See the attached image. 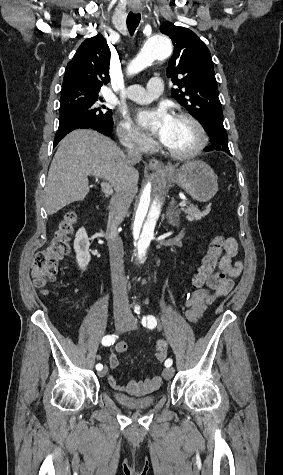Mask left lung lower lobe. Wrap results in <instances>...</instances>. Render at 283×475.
<instances>
[{"label":"left lung lower lobe","instance_id":"0a47b994","mask_svg":"<svg viewBox=\"0 0 283 475\" xmlns=\"http://www.w3.org/2000/svg\"><path fill=\"white\" fill-rule=\"evenodd\" d=\"M204 129L208 133L211 144L205 149L206 151H222L231 156L227 143V132L222 121H214L205 123Z\"/></svg>","mask_w":283,"mask_h":475}]
</instances>
